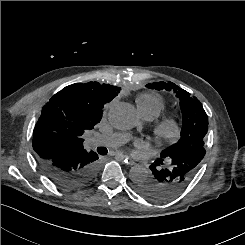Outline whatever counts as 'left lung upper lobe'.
<instances>
[{
    "instance_id": "1",
    "label": "left lung upper lobe",
    "mask_w": 245,
    "mask_h": 245,
    "mask_svg": "<svg viewBox=\"0 0 245 245\" xmlns=\"http://www.w3.org/2000/svg\"><path fill=\"white\" fill-rule=\"evenodd\" d=\"M147 88L155 90H173L180 99V106L183 116V126L180 140L172 146L164 149L160 157L166 158L169 155L189 146H204V137L208 130V117L201 102L190 93L179 88L172 82L149 83Z\"/></svg>"
}]
</instances>
